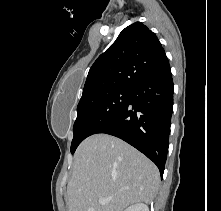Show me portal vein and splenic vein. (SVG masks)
<instances>
[{
	"label": "portal vein and splenic vein",
	"mask_w": 221,
	"mask_h": 211,
	"mask_svg": "<svg viewBox=\"0 0 221 211\" xmlns=\"http://www.w3.org/2000/svg\"><path fill=\"white\" fill-rule=\"evenodd\" d=\"M111 200H112L111 197H109V198H99L98 202H99V204H105L107 202H110Z\"/></svg>",
	"instance_id": "18ae733b"
}]
</instances>
